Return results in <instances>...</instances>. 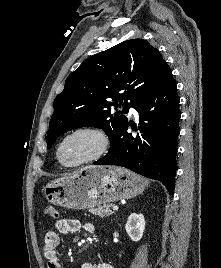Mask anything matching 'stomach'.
Instances as JSON below:
<instances>
[{"instance_id": "0dacf381", "label": "stomach", "mask_w": 221, "mask_h": 268, "mask_svg": "<svg viewBox=\"0 0 221 268\" xmlns=\"http://www.w3.org/2000/svg\"><path fill=\"white\" fill-rule=\"evenodd\" d=\"M147 181L115 166H86L44 187L48 202L69 209H87L141 194Z\"/></svg>"}]
</instances>
